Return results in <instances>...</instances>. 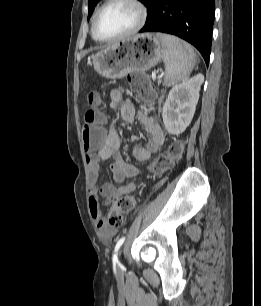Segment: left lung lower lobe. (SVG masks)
Instances as JSON below:
<instances>
[{"label":"left lung lower lobe","mask_w":261,"mask_h":306,"mask_svg":"<svg viewBox=\"0 0 261 306\" xmlns=\"http://www.w3.org/2000/svg\"><path fill=\"white\" fill-rule=\"evenodd\" d=\"M140 32L176 35L195 46L209 64L215 0H150Z\"/></svg>","instance_id":"left-lung-lower-lobe-1"}]
</instances>
